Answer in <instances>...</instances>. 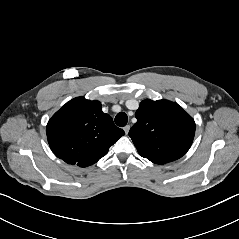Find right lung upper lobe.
<instances>
[{
    "mask_svg": "<svg viewBox=\"0 0 239 239\" xmlns=\"http://www.w3.org/2000/svg\"><path fill=\"white\" fill-rule=\"evenodd\" d=\"M99 101L77 97L49 120L48 143L54 154L68 164L87 167L104 157L125 133L103 113Z\"/></svg>",
    "mask_w": 239,
    "mask_h": 239,
    "instance_id": "cb5924a9",
    "label": "right lung upper lobe"
}]
</instances>
